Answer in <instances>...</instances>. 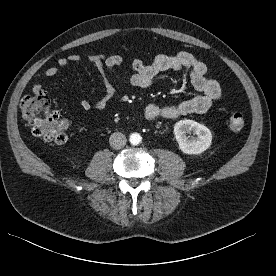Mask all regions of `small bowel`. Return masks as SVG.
Wrapping results in <instances>:
<instances>
[{
    "label": "small bowel",
    "instance_id": "1",
    "mask_svg": "<svg viewBox=\"0 0 276 276\" xmlns=\"http://www.w3.org/2000/svg\"><path fill=\"white\" fill-rule=\"evenodd\" d=\"M124 57L120 54H79L71 53L65 57H60L56 61V66H49L44 74L47 77L57 75L59 68L66 67L70 63L85 61L97 68L102 76L104 94L95 102L88 99H82L80 106L85 110L103 109L107 107L116 96L117 92L125 85L136 88H148L156 80L161 72L173 70H186L189 73L190 81L193 87L201 92L200 95L177 104L159 106L150 104L145 108L144 115L148 121L154 122L159 119H175L183 115L192 113H205L221 95L219 83L207 77V66L197 60L188 52H179L174 55L158 54L150 62L145 63L140 58L132 60L134 73L126 79L110 80L106 72L114 74L116 68L124 62ZM34 94L44 91L40 82H35L32 86Z\"/></svg>",
    "mask_w": 276,
    "mask_h": 276
}]
</instances>
